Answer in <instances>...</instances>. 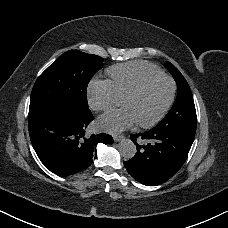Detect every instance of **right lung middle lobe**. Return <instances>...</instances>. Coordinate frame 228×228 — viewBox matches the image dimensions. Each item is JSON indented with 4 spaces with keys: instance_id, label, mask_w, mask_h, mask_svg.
<instances>
[{
    "instance_id": "1",
    "label": "right lung middle lobe",
    "mask_w": 228,
    "mask_h": 228,
    "mask_svg": "<svg viewBox=\"0 0 228 228\" xmlns=\"http://www.w3.org/2000/svg\"><path fill=\"white\" fill-rule=\"evenodd\" d=\"M103 61L100 56L78 50L63 53L36 80L29 112L56 109L75 118L91 116L87 86Z\"/></svg>"
}]
</instances>
